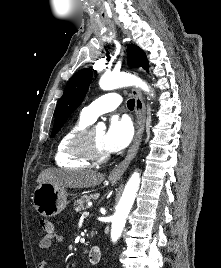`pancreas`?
Returning a JSON list of instances; mask_svg holds the SVG:
<instances>
[{
    "instance_id": "cf45deb5",
    "label": "pancreas",
    "mask_w": 221,
    "mask_h": 268,
    "mask_svg": "<svg viewBox=\"0 0 221 268\" xmlns=\"http://www.w3.org/2000/svg\"><path fill=\"white\" fill-rule=\"evenodd\" d=\"M96 199V196L91 194V195H84L82 196L81 198L77 199L75 201V205H76V208L75 210L76 211H81L82 209H85L87 208V203L89 201H92V200H95Z\"/></svg>"
}]
</instances>
